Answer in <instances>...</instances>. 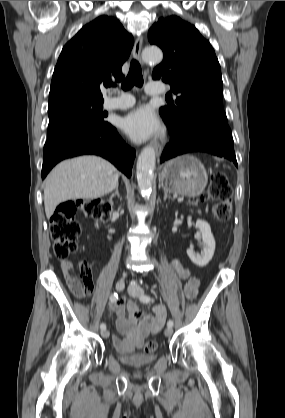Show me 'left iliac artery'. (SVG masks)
<instances>
[{
	"instance_id": "left-iliac-artery-1",
	"label": "left iliac artery",
	"mask_w": 285,
	"mask_h": 418,
	"mask_svg": "<svg viewBox=\"0 0 285 418\" xmlns=\"http://www.w3.org/2000/svg\"><path fill=\"white\" fill-rule=\"evenodd\" d=\"M140 300H141L142 302H144V303H149V302L151 301V297H150V296H148V295H143V296H141ZM167 326H168V327H172V326H173V321H172V320H169V321L167 322Z\"/></svg>"
}]
</instances>
